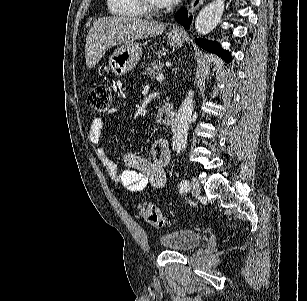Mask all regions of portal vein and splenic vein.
I'll return each instance as SVG.
<instances>
[{"label":"portal vein and splenic vein","instance_id":"18ae733b","mask_svg":"<svg viewBox=\"0 0 307 301\" xmlns=\"http://www.w3.org/2000/svg\"><path fill=\"white\" fill-rule=\"evenodd\" d=\"M164 74H156V80H163Z\"/></svg>","mask_w":307,"mask_h":301}]
</instances>
